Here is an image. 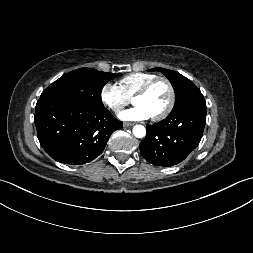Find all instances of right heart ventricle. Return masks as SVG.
<instances>
[{
    "label": "right heart ventricle",
    "instance_id": "obj_1",
    "mask_svg": "<svg viewBox=\"0 0 253 253\" xmlns=\"http://www.w3.org/2000/svg\"><path fill=\"white\" fill-rule=\"evenodd\" d=\"M155 77L157 76L149 73H132L121 78L119 80V86L131 98L140 88Z\"/></svg>",
    "mask_w": 253,
    "mask_h": 253
}]
</instances>
